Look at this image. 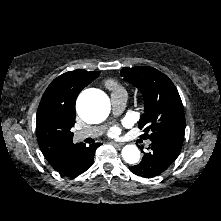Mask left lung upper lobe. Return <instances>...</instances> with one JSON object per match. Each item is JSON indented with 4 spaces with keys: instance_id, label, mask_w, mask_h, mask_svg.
<instances>
[{
    "instance_id": "obj_1",
    "label": "left lung upper lobe",
    "mask_w": 221,
    "mask_h": 221,
    "mask_svg": "<svg viewBox=\"0 0 221 221\" xmlns=\"http://www.w3.org/2000/svg\"><path fill=\"white\" fill-rule=\"evenodd\" d=\"M121 75L143 94L145 112L138 127L144 139L155 137L184 140L185 115L179 93L173 82L152 67L123 68Z\"/></svg>"
}]
</instances>
